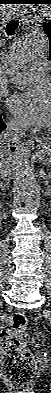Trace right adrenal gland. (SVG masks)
Instances as JSON below:
<instances>
[{
  "instance_id": "right-adrenal-gland-1",
  "label": "right adrenal gland",
  "mask_w": 51,
  "mask_h": 393,
  "mask_svg": "<svg viewBox=\"0 0 51 393\" xmlns=\"http://www.w3.org/2000/svg\"><path fill=\"white\" fill-rule=\"evenodd\" d=\"M7 187H8V186H7L6 184L1 183V184H0V190H1V192L5 193Z\"/></svg>"
}]
</instances>
